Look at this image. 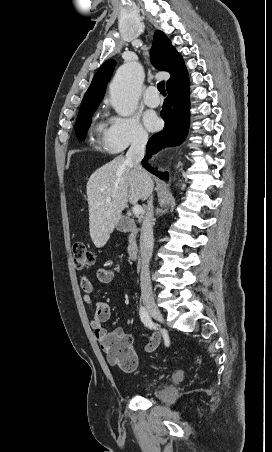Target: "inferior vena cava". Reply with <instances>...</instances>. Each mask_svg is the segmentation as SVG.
Wrapping results in <instances>:
<instances>
[{"mask_svg":"<svg viewBox=\"0 0 272 452\" xmlns=\"http://www.w3.org/2000/svg\"><path fill=\"white\" fill-rule=\"evenodd\" d=\"M148 141V135L145 132H140L134 138L131 143L129 150L126 153V161L135 170L139 172L144 182L147 184L143 199H147V211L143 219L141 236H140V252H141V276H140V286H141V297L143 300H152L153 292L151 287L149 264L153 252V197H152V180L148 173L142 168L141 161L144 157L145 146Z\"/></svg>","mask_w":272,"mask_h":452,"instance_id":"1","label":"inferior vena cava"}]
</instances>
